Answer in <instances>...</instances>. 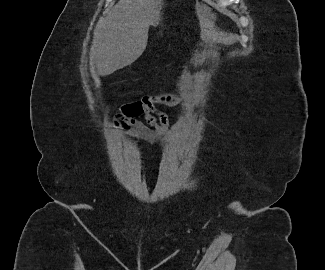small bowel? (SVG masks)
<instances>
[{"instance_id": "small-bowel-1", "label": "small bowel", "mask_w": 325, "mask_h": 270, "mask_svg": "<svg viewBox=\"0 0 325 270\" xmlns=\"http://www.w3.org/2000/svg\"><path fill=\"white\" fill-rule=\"evenodd\" d=\"M181 98L171 95H158L145 97L125 108L126 112L133 118L130 125L144 138L160 144L161 151H166L171 140L180 138L185 135L183 130L184 119L182 118L175 125H171L168 117L157 109V104L170 107L178 106ZM143 116L146 124L137 120V117ZM127 127L125 123L120 128L112 130L108 136L121 142V131Z\"/></svg>"}]
</instances>
